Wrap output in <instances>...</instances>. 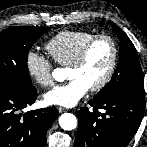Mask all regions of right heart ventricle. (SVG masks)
<instances>
[{"label": "right heart ventricle", "instance_id": "obj_1", "mask_svg": "<svg viewBox=\"0 0 147 147\" xmlns=\"http://www.w3.org/2000/svg\"><path fill=\"white\" fill-rule=\"evenodd\" d=\"M93 36L95 34L89 31H62L52 37L45 48L59 65L69 66Z\"/></svg>", "mask_w": 147, "mask_h": 147}]
</instances>
